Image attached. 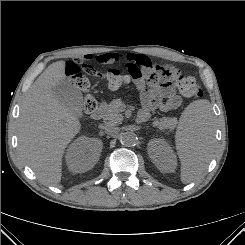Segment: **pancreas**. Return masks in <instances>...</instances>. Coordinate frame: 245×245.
Listing matches in <instances>:
<instances>
[{"mask_svg":"<svg viewBox=\"0 0 245 245\" xmlns=\"http://www.w3.org/2000/svg\"><path fill=\"white\" fill-rule=\"evenodd\" d=\"M122 101L121 99H114L108 106L103 120L108 125H117L122 122ZM178 121L176 118L163 117L161 119H154L152 125L158 127L161 130L174 129Z\"/></svg>","mask_w":245,"mask_h":245,"instance_id":"pancreas-1","label":"pancreas"}]
</instances>
